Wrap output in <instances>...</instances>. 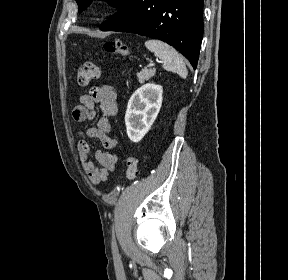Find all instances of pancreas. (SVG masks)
Wrapping results in <instances>:
<instances>
[{
	"label": "pancreas",
	"instance_id": "pancreas-1",
	"mask_svg": "<svg viewBox=\"0 0 288 280\" xmlns=\"http://www.w3.org/2000/svg\"><path fill=\"white\" fill-rule=\"evenodd\" d=\"M155 69H143L137 73L139 83H144L155 75Z\"/></svg>",
	"mask_w": 288,
	"mask_h": 280
}]
</instances>
